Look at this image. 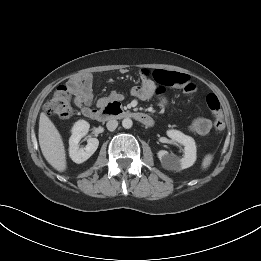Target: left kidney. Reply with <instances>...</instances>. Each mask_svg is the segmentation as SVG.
Segmentation results:
<instances>
[{"instance_id":"1","label":"left kidney","mask_w":261,"mask_h":261,"mask_svg":"<svg viewBox=\"0 0 261 261\" xmlns=\"http://www.w3.org/2000/svg\"><path fill=\"white\" fill-rule=\"evenodd\" d=\"M167 136L184 146V156L178 159L168 151L160 150L157 156L162 165L168 170H182L191 167L196 161V145L192 137L183 134L178 130H168Z\"/></svg>"}]
</instances>
